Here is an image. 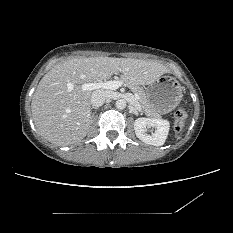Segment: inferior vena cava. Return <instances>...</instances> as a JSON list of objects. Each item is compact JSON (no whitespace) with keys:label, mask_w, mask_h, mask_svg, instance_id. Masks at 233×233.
Wrapping results in <instances>:
<instances>
[{"label":"inferior vena cava","mask_w":233,"mask_h":233,"mask_svg":"<svg viewBox=\"0 0 233 233\" xmlns=\"http://www.w3.org/2000/svg\"><path fill=\"white\" fill-rule=\"evenodd\" d=\"M110 97V92L107 90L99 89L92 93L91 104L93 107H100L104 104L105 100Z\"/></svg>","instance_id":"inferior-vena-cava-1"}]
</instances>
